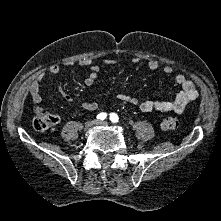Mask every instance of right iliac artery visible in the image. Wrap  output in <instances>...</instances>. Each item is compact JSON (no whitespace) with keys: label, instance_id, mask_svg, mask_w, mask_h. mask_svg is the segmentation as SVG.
Listing matches in <instances>:
<instances>
[{"label":"right iliac artery","instance_id":"right-iliac-artery-1","mask_svg":"<svg viewBox=\"0 0 221 221\" xmlns=\"http://www.w3.org/2000/svg\"><path fill=\"white\" fill-rule=\"evenodd\" d=\"M106 117H107V114L104 113V112H102V113H100V114L97 115V119H99V120H101V121L105 120Z\"/></svg>","mask_w":221,"mask_h":221}]
</instances>
